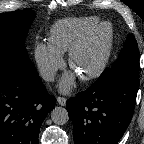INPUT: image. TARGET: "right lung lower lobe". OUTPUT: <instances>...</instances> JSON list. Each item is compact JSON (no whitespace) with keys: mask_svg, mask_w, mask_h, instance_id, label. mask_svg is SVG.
Listing matches in <instances>:
<instances>
[{"mask_svg":"<svg viewBox=\"0 0 144 144\" xmlns=\"http://www.w3.org/2000/svg\"><path fill=\"white\" fill-rule=\"evenodd\" d=\"M41 79L0 72V144H39L42 122L55 107Z\"/></svg>","mask_w":144,"mask_h":144,"instance_id":"right-lung-lower-lobe-1","label":"right lung lower lobe"}]
</instances>
